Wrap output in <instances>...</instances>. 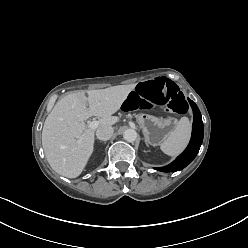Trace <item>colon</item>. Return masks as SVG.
I'll return each mask as SVG.
<instances>
[{
  "label": "colon",
  "instance_id": "obj_1",
  "mask_svg": "<svg viewBox=\"0 0 248 248\" xmlns=\"http://www.w3.org/2000/svg\"><path fill=\"white\" fill-rule=\"evenodd\" d=\"M122 107L126 111L167 107L175 114H183L187 110L184 95L177 85L164 79L141 83L123 100Z\"/></svg>",
  "mask_w": 248,
  "mask_h": 248
}]
</instances>
